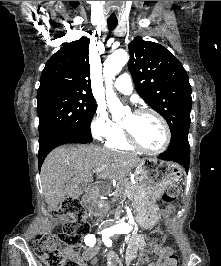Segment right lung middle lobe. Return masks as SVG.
I'll return each instance as SVG.
<instances>
[{"label": "right lung middle lobe", "instance_id": "dd1d6c3e", "mask_svg": "<svg viewBox=\"0 0 221 266\" xmlns=\"http://www.w3.org/2000/svg\"><path fill=\"white\" fill-rule=\"evenodd\" d=\"M39 144L65 132L92 137L90 123L96 112L94 97L65 89H43L37 93Z\"/></svg>", "mask_w": 221, "mask_h": 266}]
</instances>
